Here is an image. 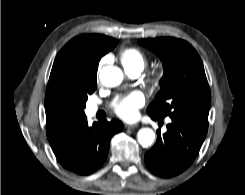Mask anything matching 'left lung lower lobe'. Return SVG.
Wrapping results in <instances>:
<instances>
[{
    "instance_id": "0a47b994",
    "label": "left lung lower lobe",
    "mask_w": 245,
    "mask_h": 195,
    "mask_svg": "<svg viewBox=\"0 0 245 195\" xmlns=\"http://www.w3.org/2000/svg\"><path fill=\"white\" fill-rule=\"evenodd\" d=\"M171 120L167 132L163 136L157 132L155 145L145 154L149 170L163 178L176 176L189 167L208 131V123L182 118Z\"/></svg>"
}]
</instances>
